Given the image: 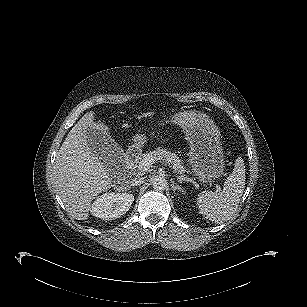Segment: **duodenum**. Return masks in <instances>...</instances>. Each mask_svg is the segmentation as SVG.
I'll return each instance as SVG.
<instances>
[{
    "instance_id": "duodenum-1",
    "label": "duodenum",
    "mask_w": 307,
    "mask_h": 307,
    "mask_svg": "<svg viewBox=\"0 0 307 307\" xmlns=\"http://www.w3.org/2000/svg\"><path fill=\"white\" fill-rule=\"evenodd\" d=\"M136 157V153L134 151H130L127 154V161L132 162Z\"/></svg>"
}]
</instances>
